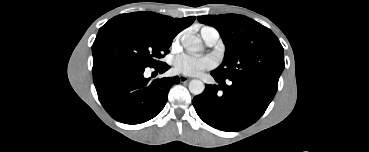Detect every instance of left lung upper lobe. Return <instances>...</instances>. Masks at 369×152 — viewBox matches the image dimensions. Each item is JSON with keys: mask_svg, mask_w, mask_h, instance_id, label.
I'll list each match as a JSON object with an SVG mask.
<instances>
[{"mask_svg": "<svg viewBox=\"0 0 369 152\" xmlns=\"http://www.w3.org/2000/svg\"><path fill=\"white\" fill-rule=\"evenodd\" d=\"M197 19L215 27L226 47L223 63L212 71L215 75L278 84L285 66L283 47L270 29L237 14L207 15Z\"/></svg>", "mask_w": 369, "mask_h": 152, "instance_id": "obj_1", "label": "left lung upper lobe"}]
</instances>
